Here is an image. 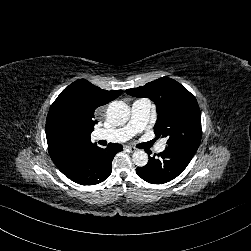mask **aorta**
<instances>
[{"mask_svg":"<svg viewBox=\"0 0 251 251\" xmlns=\"http://www.w3.org/2000/svg\"><path fill=\"white\" fill-rule=\"evenodd\" d=\"M130 117V108L123 101H112L107 109V121L116 126L124 125ZM134 164L143 167L148 163V155L143 150H137L132 155Z\"/></svg>","mask_w":251,"mask_h":251,"instance_id":"obj_1","label":"aorta"}]
</instances>
